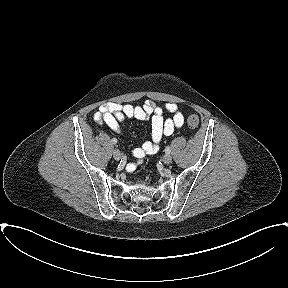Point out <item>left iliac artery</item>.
Masks as SVG:
<instances>
[{"instance_id":"obj_1","label":"left iliac artery","mask_w":288,"mask_h":288,"mask_svg":"<svg viewBox=\"0 0 288 288\" xmlns=\"http://www.w3.org/2000/svg\"><path fill=\"white\" fill-rule=\"evenodd\" d=\"M170 152H171V148H170L169 146H167V147L165 148V153H166V154H170Z\"/></svg>"}]
</instances>
